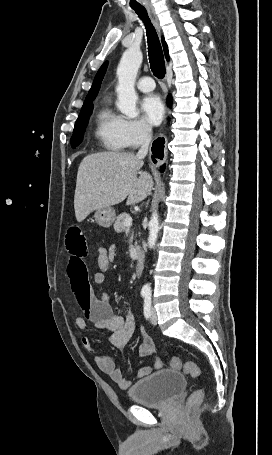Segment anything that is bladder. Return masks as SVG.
Returning a JSON list of instances; mask_svg holds the SVG:
<instances>
[{
	"instance_id": "1",
	"label": "bladder",
	"mask_w": 272,
	"mask_h": 455,
	"mask_svg": "<svg viewBox=\"0 0 272 455\" xmlns=\"http://www.w3.org/2000/svg\"><path fill=\"white\" fill-rule=\"evenodd\" d=\"M185 377L178 371L163 369L141 379L129 389V397L149 407H163L185 388Z\"/></svg>"
}]
</instances>
